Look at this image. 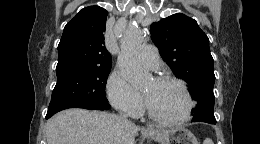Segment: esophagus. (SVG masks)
Instances as JSON below:
<instances>
[{
    "label": "esophagus",
    "mask_w": 260,
    "mask_h": 144,
    "mask_svg": "<svg viewBox=\"0 0 260 144\" xmlns=\"http://www.w3.org/2000/svg\"><path fill=\"white\" fill-rule=\"evenodd\" d=\"M148 129H149V130H151L152 128H151V127H149Z\"/></svg>",
    "instance_id": "obj_1"
}]
</instances>
